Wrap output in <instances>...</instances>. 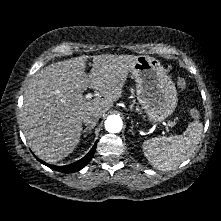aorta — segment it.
Returning <instances> with one entry per match:
<instances>
[{
    "mask_svg": "<svg viewBox=\"0 0 221 221\" xmlns=\"http://www.w3.org/2000/svg\"><path fill=\"white\" fill-rule=\"evenodd\" d=\"M122 120L117 115L109 116L105 121V128L110 133H118L122 129Z\"/></svg>",
    "mask_w": 221,
    "mask_h": 221,
    "instance_id": "762f6f07",
    "label": "aorta"
}]
</instances>
